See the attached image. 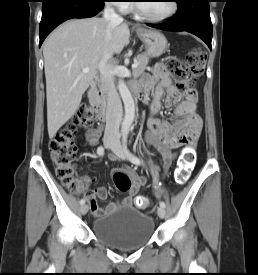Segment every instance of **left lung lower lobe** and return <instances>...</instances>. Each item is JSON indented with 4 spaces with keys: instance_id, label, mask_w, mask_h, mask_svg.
Returning a JSON list of instances; mask_svg holds the SVG:
<instances>
[{
    "instance_id": "1",
    "label": "left lung lower lobe",
    "mask_w": 258,
    "mask_h": 275,
    "mask_svg": "<svg viewBox=\"0 0 258 275\" xmlns=\"http://www.w3.org/2000/svg\"><path fill=\"white\" fill-rule=\"evenodd\" d=\"M178 12L162 24L148 26L167 31H187L201 38L211 49L212 23L210 0H177Z\"/></svg>"
}]
</instances>
